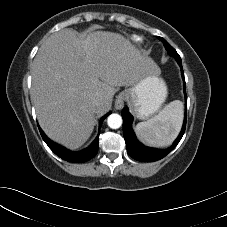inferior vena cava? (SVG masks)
Wrapping results in <instances>:
<instances>
[{
  "label": "inferior vena cava",
  "instance_id": "inferior-vena-cava-1",
  "mask_svg": "<svg viewBox=\"0 0 227 227\" xmlns=\"http://www.w3.org/2000/svg\"><path fill=\"white\" fill-rule=\"evenodd\" d=\"M101 104H102V99L96 98V99L93 100V105H94L95 107L98 108V107L101 106Z\"/></svg>",
  "mask_w": 227,
  "mask_h": 227
}]
</instances>
